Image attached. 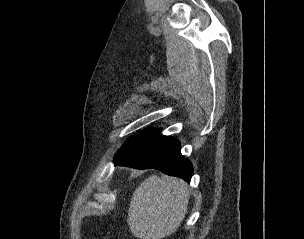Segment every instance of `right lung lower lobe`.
<instances>
[{
  "label": "right lung lower lobe",
  "mask_w": 304,
  "mask_h": 239,
  "mask_svg": "<svg viewBox=\"0 0 304 239\" xmlns=\"http://www.w3.org/2000/svg\"><path fill=\"white\" fill-rule=\"evenodd\" d=\"M115 165L137 169H158L165 174L190 181L191 163L180 153V143L173 137L163 136L159 129L120 149Z\"/></svg>",
  "instance_id": "1"
}]
</instances>
